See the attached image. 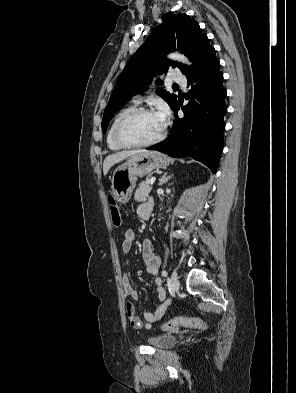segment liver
<instances>
[{
  "label": "liver",
  "mask_w": 296,
  "mask_h": 393,
  "mask_svg": "<svg viewBox=\"0 0 296 393\" xmlns=\"http://www.w3.org/2000/svg\"><path fill=\"white\" fill-rule=\"evenodd\" d=\"M148 151L146 150H132V151H122V152H117L111 155H108L103 163V173L104 175H107L109 169L116 163H119L123 161L124 159L131 157L136 154L140 153H146Z\"/></svg>",
  "instance_id": "6515ba94"
}]
</instances>
